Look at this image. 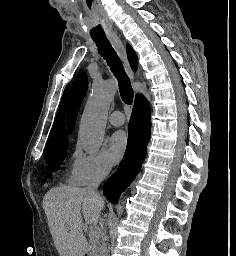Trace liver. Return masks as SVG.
<instances>
[{
	"instance_id": "1",
	"label": "liver",
	"mask_w": 236,
	"mask_h": 256,
	"mask_svg": "<svg viewBox=\"0 0 236 256\" xmlns=\"http://www.w3.org/2000/svg\"><path fill=\"white\" fill-rule=\"evenodd\" d=\"M103 208V200L98 204V200H94L84 188L59 186L45 194L43 210L59 256L86 254L83 220L85 224H98Z\"/></svg>"
}]
</instances>
